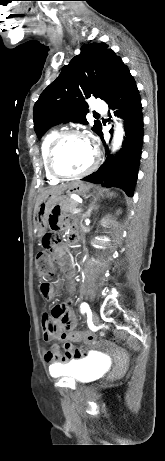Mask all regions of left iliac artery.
Masks as SVG:
<instances>
[{
    "label": "left iliac artery",
    "mask_w": 165,
    "mask_h": 461,
    "mask_svg": "<svg viewBox=\"0 0 165 461\" xmlns=\"http://www.w3.org/2000/svg\"><path fill=\"white\" fill-rule=\"evenodd\" d=\"M81 312H82V313L87 312V313H89V314L91 313L90 308H89V306H88L87 303H82V304H81Z\"/></svg>",
    "instance_id": "left-iliac-artery-1"
}]
</instances>
